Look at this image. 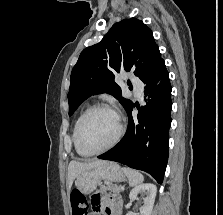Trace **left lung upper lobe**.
Instances as JSON below:
<instances>
[{
    "label": "left lung upper lobe",
    "instance_id": "left-lung-upper-lobe-1",
    "mask_svg": "<svg viewBox=\"0 0 223 215\" xmlns=\"http://www.w3.org/2000/svg\"><path fill=\"white\" fill-rule=\"evenodd\" d=\"M152 31L136 18L115 23L97 44L84 49L71 72L68 92L69 115L88 97L107 92L116 97L127 110L133 103L121 97L115 73L130 71L140 79L161 61Z\"/></svg>",
    "mask_w": 223,
    "mask_h": 215
}]
</instances>
